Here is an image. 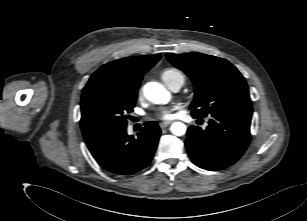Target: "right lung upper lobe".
<instances>
[{
    "label": "right lung upper lobe",
    "mask_w": 307,
    "mask_h": 221,
    "mask_svg": "<svg viewBox=\"0 0 307 221\" xmlns=\"http://www.w3.org/2000/svg\"><path fill=\"white\" fill-rule=\"evenodd\" d=\"M161 55L126 57L101 66L92 74L85 87L109 85L137 92L143 75L154 66Z\"/></svg>",
    "instance_id": "cb5924a9"
}]
</instances>
